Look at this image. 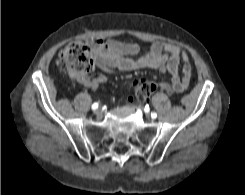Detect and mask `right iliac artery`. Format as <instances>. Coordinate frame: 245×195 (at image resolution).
I'll return each mask as SVG.
<instances>
[{
  "mask_svg": "<svg viewBox=\"0 0 245 195\" xmlns=\"http://www.w3.org/2000/svg\"><path fill=\"white\" fill-rule=\"evenodd\" d=\"M98 108V103H94L93 105H92V109L93 110H96Z\"/></svg>",
  "mask_w": 245,
  "mask_h": 195,
  "instance_id": "82829eb1",
  "label": "right iliac artery"
}]
</instances>
